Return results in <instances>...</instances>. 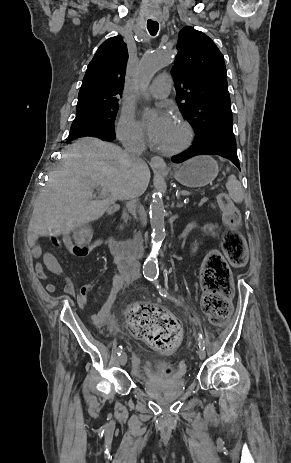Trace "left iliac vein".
<instances>
[{"label":"left iliac vein","instance_id":"left-iliac-vein-1","mask_svg":"<svg viewBox=\"0 0 291 463\" xmlns=\"http://www.w3.org/2000/svg\"><path fill=\"white\" fill-rule=\"evenodd\" d=\"M198 356L201 360H203L206 356L205 350L201 348L198 352Z\"/></svg>","mask_w":291,"mask_h":463}]
</instances>
